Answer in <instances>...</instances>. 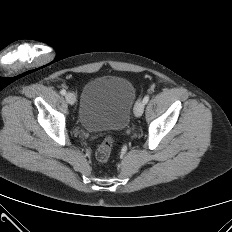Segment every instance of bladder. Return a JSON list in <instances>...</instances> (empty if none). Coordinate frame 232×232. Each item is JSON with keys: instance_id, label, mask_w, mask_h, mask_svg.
I'll return each mask as SVG.
<instances>
[{"instance_id": "obj_1", "label": "bladder", "mask_w": 232, "mask_h": 232, "mask_svg": "<svg viewBox=\"0 0 232 232\" xmlns=\"http://www.w3.org/2000/svg\"><path fill=\"white\" fill-rule=\"evenodd\" d=\"M135 103L133 84L120 76H100L83 87L78 119L92 132L123 130Z\"/></svg>"}]
</instances>
